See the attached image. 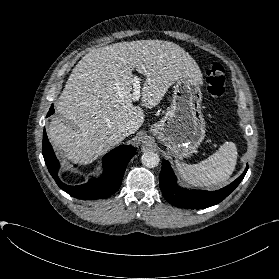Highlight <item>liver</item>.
<instances>
[{"label":"liver","instance_id":"6515ba94","mask_svg":"<svg viewBox=\"0 0 279 279\" xmlns=\"http://www.w3.org/2000/svg\"><path fill=\"white\" fill-rule=\"evenodd\" d=\"M144 75L142 106L153 108L180 77L202 74L179 45L162 40L119 42L94 49L75 66L55 109L65 120L48 126L50 141L67 160L87 165L120 144L124 128L135 133L144 122L133 104V70Z\"/></svg>","mask_w":279,"mask_h":279}]
</instances>
